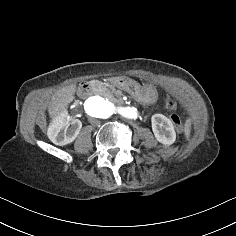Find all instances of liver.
<instances>
[{
	"mask_svg": "<svg viewBox=\"0 0 236 236\" xmlns=\"http://www.w3.org/2000/svg\"><path fill=\"white\" fill-rule=\"evenodd\" d=\"M76 92V84L65 86L55 92V94L51 97L47 108L48 116L51 121L55 122L62 118L73 97L76 95Z\"/></svg>",
	"mask_w": 236,
	"mask_h": 236,
	"instance_id": "1",
	"label": "liver"
}]
</instances>
